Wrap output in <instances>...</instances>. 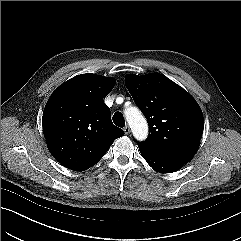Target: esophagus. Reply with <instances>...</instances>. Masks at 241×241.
<instances>
[{
  "mask_svg": "<svg viewBox=\"0 0 241 241\" xmlns=\"http://www.w3.org/2000/svg\"><path fill=\"white\" fill-rule=\"evenodd\" d=\"M123 131H124V133H125L126 135H128V134L130 133V128H129V126H125L124 129H123Z\"/></svg>",
  "mask_w": 241,
  "mask_h": 241,
  "instance_id": "34e87169",
  "label": "esophagus"
}]
</instances>
